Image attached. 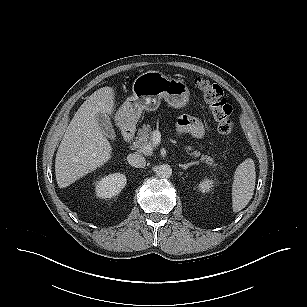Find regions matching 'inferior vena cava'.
Wrapping results in <instances>:
<instances>
[{
    "label": "inferior vena cava",
    "mask_w": 307,
    "mask_h": 307,
    "mask_svg": "<svg viewBox=\"0 0 307 307\" xmlns=\"http://www.w3.org/2000/svg\"><path fill=\"white\" fill-rule=\"evenodd\" d=\"M128 163L136 168H143L146 165V160L142 155L139 154H129L127 156Z\"/></svg>",
    "instance_id": "602c4592"
}]
</instances>
